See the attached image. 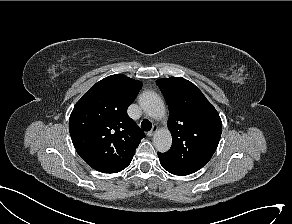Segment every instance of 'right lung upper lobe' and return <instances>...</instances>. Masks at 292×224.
I'll return each mask as SVG.
<instances>
[{"label":"right lung upper lobe","instance_id":"cb5924a9","mask_svg":"<svg viewBox=\"0 0 292 224\" xmlns=\"http://www.w3.org/2000/svg\"><path fill=\"white\" fill-rule=\"evenodd\" d=\"M142 88L123 74L97 82L76 103L69 131L79 156L101 168L133 158L144 132L128 116L127 108Z\"/></svg>","mask_w":292,"mask_h":224}]
</instances>
